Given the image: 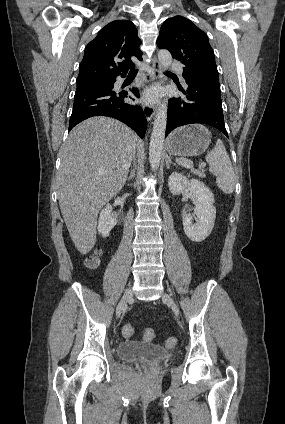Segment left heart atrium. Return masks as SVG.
Returning a JSON list of instances; mask_svg holds the SVG:
<instances>
[{"label": "left heart atrium", "mask_w": 285, "mask_h": 424, "mask_svg": "<svg viewBox=\"0 0 285 424\" xmlns=\"http://www.w3.org/2000/svg\"><path fill=\"white\" fill-rule=\"evenodd\" d=\"M160 96V91L157 88H149L147 89L142 96L143 101L148 103L155 102Z\"/></svg>", "instance_id": "39dd6f15"}]
</instances>
